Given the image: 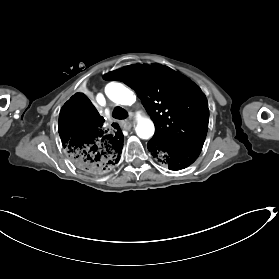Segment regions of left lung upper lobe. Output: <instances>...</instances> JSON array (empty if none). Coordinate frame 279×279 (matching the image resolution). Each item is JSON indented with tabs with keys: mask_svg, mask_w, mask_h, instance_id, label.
<instances>
[{
	"mask_svg": "<svg viewBox=\"0 0 279 279\" xmlns=\"http://www.w3.org/2000/svg\"><path fill=\"white\" fill-rule=\"evenodd\" d=\"M134 89L155 124L150 140L202 148L209 120L207 99L186 76L164 65H130L104 75Z\"/></svg>",
	"mask_w": 279,
	"mask_h": 279,
	"instance_id": "1",
	"label": "left lung upper lobe"
}]
</instances>
